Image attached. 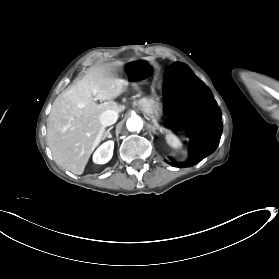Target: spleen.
Returning a JSON list of instances; mask_svg holds the SVG:
<instances>
[{
  "instance_id": "1",
  "label": "spleen",
  "mask_w": 279,
  "mask_h": 279,
  "mask_svg": "<svg viewBox=\"0 0 279 279\" xmlns=\"http://www.w3.org/2000/svg\"><path fill=\"white\" fill-rule=\"evenodd\" d=\"M165 139H166L167 143L174 149H178V148L182 147L181 141L172 132H167Z\"/></svg>"
}]
</instances>
